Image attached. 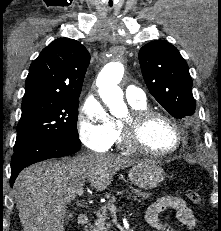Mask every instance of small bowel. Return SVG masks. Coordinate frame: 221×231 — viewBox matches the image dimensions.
<instances>
[{
    "label": "small bowel",
    "mask_w": 221,
    "mask_h": 231,
    "mask_svg": "<svg viewBox=\"0 0 221 231\" xmlns=\"http://www.w3.org/2000/svg\"><path fill=\"white\" fill-rule=\"evenodd\" d=\"M176 211L177 219L187 228L194 230L197 222L193 211L181 197L164 196L156 200L147 210L145 220L156 231H162L159 215L166 210Z\"/></svg>",
    "instance_id": "c3829d8e"
}]
</instances>
